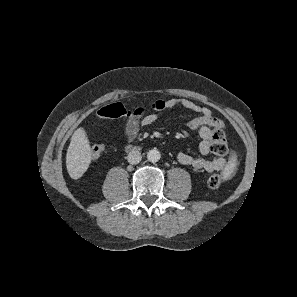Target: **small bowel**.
Instances as JSON below:
<instances>
[{
	"label": "small bowel",
	"instance_id": "small-bowel-1",
	"mask_svg": "<svg viewBox=\"0 0 297 297\" xmlns=\"http://www.w3.org/2000/svg\"><path fill=\"white\" fill-rule=\"evenodd\" d=\"M175 107H182L197 113V116L187 122V127L191 131H197L201 139L198 147L200 156L196 157L185 152H179L177 155L178 161L198 171L208 173L223 171L227 166L225 158L217 157L214 159H206L203 157L209 154L211 150L214 128L217 125L223 128L221 121L215 118L208 108L186 98L157 99L150 105L151 112L146 113L145 109H143L141 112L128 116L124 126L127 140L133 141L141 126L153 124L158 119L161 112Z\"/></svg>",
	"mask_w": 297,
	"mask_h": 297
}]
</instances>
